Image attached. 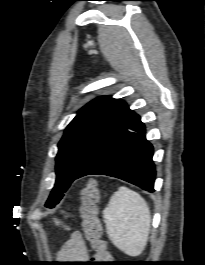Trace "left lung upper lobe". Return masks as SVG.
Here are the masks:
<instances>
[{
    "label": "left lung upper lobe",
    "instance_id": "left-lung-upper-lobe-1",
    "mask_svg": "<svg viewBox=\"0 0 205 265\" xmlns=\"http://www.w3.org/2000/svg\"><path fill=\"white\" fill-rule=\"evenodd\" d=\"M134 114L124 101L110 96L97 97L78 111L58 144L56 183L46 207L53 208L61 200L81 169Z\"/></svg>",
    "mask_w": 205,
    "mask_h": 265
}]
</instances>
